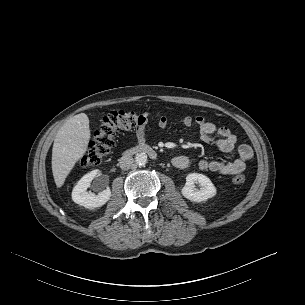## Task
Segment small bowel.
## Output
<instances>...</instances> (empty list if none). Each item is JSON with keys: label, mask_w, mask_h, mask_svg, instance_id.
Returning <instances> with one entry per match:
<instances>
[{"label": "small bowel", "mask_w": 305, "mask_h": 305, "mask_svg": "<svg viewBox=\"0 0 305 305\" xmlns=\"http://www.w3.org/2000/svg\"><path fill=\"white\" fill-rule=\"evenodd\" d=\"M156 121L160 129L164 130L167 127L168 120L164 115L157 114ZM179 122L185 127L195 126L198 129L199 138L202 142L212 144L222 152H231L236 150L237 158L231 162L209 160L199 161L198 167L200 170L221 175H234L245 170L247 162L253 156V151L251 147L246 144L237 146V137L228 127H219L202 116H183L180 118ZM135 134L139 142L145 141V123L136 127ZM171 162L173 166L179 169H186L191 164L190 159L182 155L174 157Z\"/></svg>", "instance_id": "obj_1"}]
</instances>
